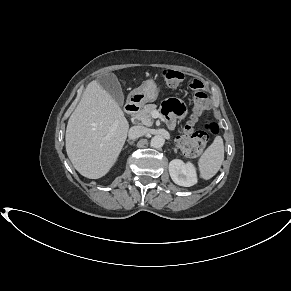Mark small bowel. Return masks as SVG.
Masks as SVG:
<instances>
[{"label": "small bowel", "mask_w": 291, "mask_h": 291, "mask_svg": "<svg viewBox=\"0 0 291 291\" xmlns=\"http://www.w3.org/2000/svg\"><path fill=\"white\" fill-rule=\"evenodd\" d=\"M183 105L178 100H169L165 105V114L170 126L174 124V116L181 114Z\"/></svg>", "instance_id": "c3829d8e"}]
</instances>
